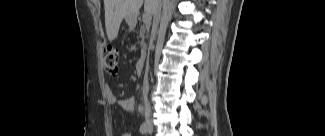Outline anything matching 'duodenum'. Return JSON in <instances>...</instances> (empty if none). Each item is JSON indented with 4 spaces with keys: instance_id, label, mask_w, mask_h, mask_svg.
Here are the masks:
<instances>
[{
    "instance_id": "obj_1",
    "label": "duodenum",
    "mask_w": 325,
    "mask_h": 136,
    "mask_svg": "<svg viewBox=\"0 0 325 136\" xmlns=\"http://www.w3.org/2000/svg\"><path fill=\"white\" fill-rule=\"evenodd\" d=\"M145 65H146V61L145 59H141L137 62L136 64V72L137 74H141L145 68Z\"/></svg>"
}]
</instances>
